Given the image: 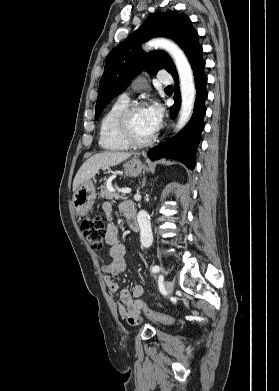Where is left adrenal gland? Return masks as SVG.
Masks as SVG:
<instances>
[{
    "label": "left adrenal gland",
    "instance_id": "a2214340",
    "mask_svg": "<svg viewBox=\"0 0 279 391\" xmlns=\"http://www.w3.org/2000/svg\"><path fill=\"white\" fill-rule=\"evenodd\" d=\"M145 178H144V180H143V183H142V187H144L145 186Z\"/></svg>",
    "mask_w": 279,
    "mask_h": 391
}]
</instances>
